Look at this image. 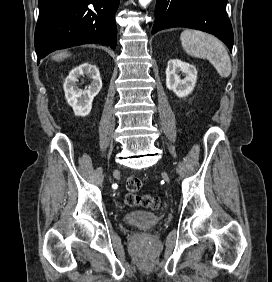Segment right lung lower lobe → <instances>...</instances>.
<instances>
[{
  "instance_id": "obj_1",
  "label": "right lung lower lobe",
  "mask_w": 272,
  "mask_h": 282,
  "mask_svg": "<svg viewBox=\"0 0 272 282\" xmlns=\"http://www.w3.org/2000/svg\"><path fill=\"white\" fill-rule=\"evenodd\" d=\"M119 0H39L34 44L40 59L52 51L86 43L116 48Z\"/></svg>"
}]
</instances>
